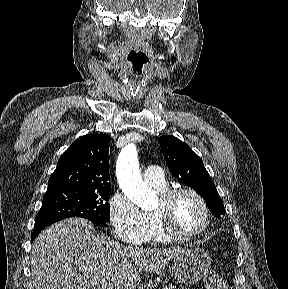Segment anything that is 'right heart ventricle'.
Returning a JSON list of instances; mask_svg holds the SVG:
<instances>
[{
  "label": "right heart ventricle",
  "mask_w": 288,
  "mask_h": 289,
  "mask_svg": "<svg viewBox=\"0 0 288 289\" xmlns=\"http://www.w3.org/2000/svg\"><path fill=\"white\" fill-rule=\"evenodd\" d=\"M160 192H164L166 187L164 188H157ZM149 220V232L147 237L145 238V243H168L172 239L167 237L164 233L161 232L159 229L153 215H147Z\"/></svg>",
  "instance_id": "right-heart-ventricle-1"
}]
</instances>
